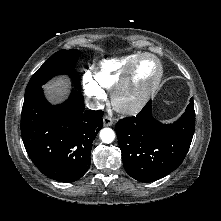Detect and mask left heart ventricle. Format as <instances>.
Here are the masks:
<instances>
[{
    "label": "left heart ventricle",
    "mask_w": 221,
    "mask_h": 221,
    "mask_svg": "<svg viewBox=\"0 0 221 221\" xmlns=\"http://www.w3.org/2000/svg\"><path fill=\"white\" fill-rule=\"evenodd\" d=\"M158 74V66L151 58H145L136 67L133 76V82L126 98L134 99L140 93L145 91L155 80Z\"/></svg>",
    "instance_id": "obj_1"
}]
</instances>
